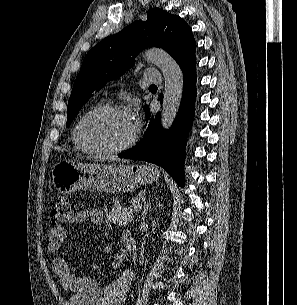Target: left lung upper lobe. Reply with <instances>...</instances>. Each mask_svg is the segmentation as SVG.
<instances>
[{
	"label": "left lung upper lobe",
	"mask_w": 297,
	"mask_h": 305,
	"mask_svg": "<svg viewBox=\"0 0 297 305\" xmlns=\"http://www.w3.org/2000/svg\"><path fill=\"white\" fill-rule=\"evenodd\" d=\"M153 46L166 50L180 67L196 62V42L188 24L162 9H150L145 22L130 24L87 53L68 102L66 127L95 91L130 69L141 50Z\"/></svg>",
	"instance_id": "5c2ea615"
}]
</instances>
